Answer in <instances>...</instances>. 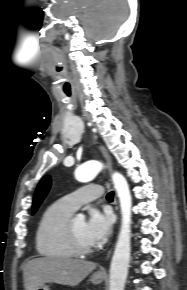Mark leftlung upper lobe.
Returning <instances> with one entry per match:
<instances>
[{"instance_id":"obj_1","label":"left lung upper lobe","mask_w":187,"mask_h":290,"mask_svg":"<svg viewBox=\"0 0 187 290\" xmlns=\"http://www.w3.org/2000/svg\"><path fill=\"white\" fill-rule=\"evenodd\" d=\"M51 185V179L49 176L44 177L39 185L37 186V189L35 191L34 199H33V206H32V212L35 213L38 209L39 205L41 204L42 200L45 198L46 194L49 191Z\"/></svg>"}]
</instances>
